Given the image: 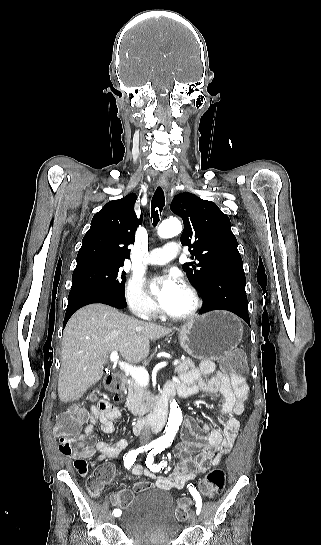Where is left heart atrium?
<instances>
[{"label":"left heart atrium","mask_w":321,"mask_h":545,"mask_svg":"<svg viewBox=\"0 0 321 545\" xmlns=\"http://www.w3.org/2000/svg\"><path fill=\"white\" fill-rule=\"evenodd\" d=\"M154 283L159 289L158 305L162 310L167 311L181 288V279L177 273L168 272L155 277Z\"/></svg>","instance_id":"obj_1"}]
</instances>
